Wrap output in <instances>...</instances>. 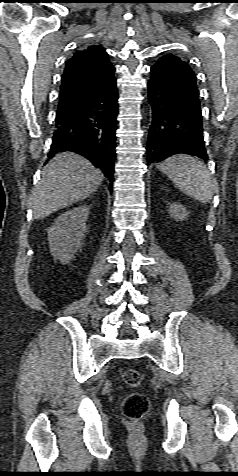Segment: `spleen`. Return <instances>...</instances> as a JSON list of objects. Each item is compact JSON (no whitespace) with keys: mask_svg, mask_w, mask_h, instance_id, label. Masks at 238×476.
<instances>
[{"mask_svg":"<svg viewBox=\"0 0 238 476\" xmlns=\"http://www.w3.org/2000/svg\"><path fill=\"white\" fill-rule=\"evenodd\" d=\"M174 185L188 196L208 203L213 196L212 179L206 165L188 155H175L158 165Z\"/></svg>","mask_w":238,"mask_h":476,"instance_id":"obj_1","label":"spleen"}]
</instances>
